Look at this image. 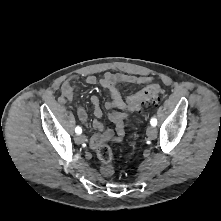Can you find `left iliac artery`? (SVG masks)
<instances>
[{"label":"left iliac artery","mask_w":221,"mask_h":221,"mask_svg":"<svg viewBox=\"0 0 221 221\" xmlns=\"http://www.w3.org/2000/svg\"><path fill=\"white\" fill-rule=\"evenodd\" d=\"M150 124L152 126H156L157 125V119L155 117H152L151 120H150Z\"/></svg>","instance_id":"44dca946"}]
</instances>
